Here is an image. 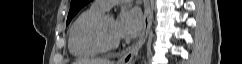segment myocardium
<instances>
[{
	"mask_svg": "<svg viewBox=\"0 0 242 64\" xmlns=\"http://www.w3.org/2000/svg\"><path fill=\"white\" fill-rule=\"evenodd\" d=\"M108 15L105 13L90 19L81 30L82 41L98 52H109L119 45V39L111 42L104 40L102 36L103 22Z\"/></svg>",
	"mask_w": 242,
	"mask_h": 64,
	"instance_id": "1",
	"label": "myocardium"
}]
</instances>
